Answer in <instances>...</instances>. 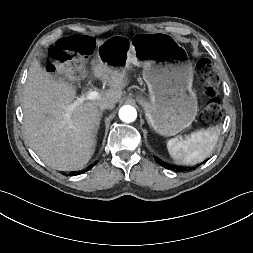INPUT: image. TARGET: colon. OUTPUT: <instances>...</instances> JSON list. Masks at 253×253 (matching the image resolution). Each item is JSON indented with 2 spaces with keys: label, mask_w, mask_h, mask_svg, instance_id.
Returning a JSON list of instances; mask_svg holds the SVG:
<instances>
[{
  "label": "colon",
  "mask_w": 253,
  "mask_h": 253,
  "mask_svg": "<svg viewBox=\"0 0 253 253\" xmlns=\"http://www.w3.org/2000/svg\"><path fill=\"white\" fill-rule=\"evenodd\" d=\"M94 42L89 36L74 35L57 42L53 57L57 64L63 67L76 66L80 68L83 61L92 53ZM197 70L203 92L208 102L202 112V119L206 123H216L222 115L221 106L217 99L219 76L210 69V63L201 59L197 63Z\"/></svg>",
  "instance_id": "5ec220e1"
}]
</instances>
